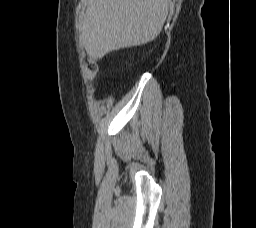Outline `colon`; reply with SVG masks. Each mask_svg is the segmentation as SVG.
Wrapping results in <instances>:
<instances>
[{
	"label": "colon",
	"mask_w": 256,
	"mask_h": 228,
	"mask_svg": "<svg viewBox=\"0 0 256 228\" xmlns=\"http://www.w3.org/2000/svg\"><path fill=\"white\" fill-rule=\"evenodd\" d=\"M88 65H89V67H90L91 70H95L96 65H95V63H94L93 60L89 59Z\"/></svg>",
	"instance_id": "colon-1"
}]
</instances>
